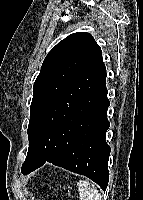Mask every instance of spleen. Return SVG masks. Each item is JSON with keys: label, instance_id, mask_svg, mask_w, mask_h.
I'll list each match as a JSON object with an SVG mask.
<instances>
[{"label": "spleen", "instance_id": "3e777b00", "mask_svg": "<svg viewBox=\"0 0 143 200\" xmlns=\"http://www.w3.org/2000/svg\"><path fill=\"white\" fill-rule=\"evenodd\" d=\"M77 185L80 200H102V196L95 184L87 180H80Z\"/></svg>", "mask_w": 143, "mask_h": 200}]
</instances>
